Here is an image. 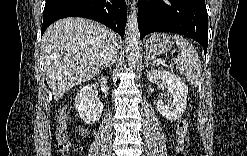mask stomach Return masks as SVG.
<instances>
[{"instance_id": "1", "label": "stomach", "mask_w": 247, "mask_h": 156, "mask_svg": "<svg viewBox=\"0 0 247 156\" xmlns=\"http://www.w3.org/2000/svg\"><path fill=\"white\" fill-rule=\"evenodd\" d=\"M172 46V41L167 34L156 33L152 34L145 41V51L151 57H157L162 53L167 52Z\"/></svg>"}]
</instances>
